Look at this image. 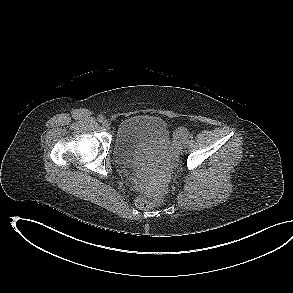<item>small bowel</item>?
I'll return each mask as SVG.
<instances>
[{
	"mask_svg": "<svg viewBox=\"0 0 293 293\" xmlns=\"http://www.w3.org/2000/svg\"><path fill=\"white\" fill-rule=\"evenodd\" d=\"M181 131H182V133H184V130L183 129H181Z\"/></svg>",
	"mask_w": 293,
	"mask_h": 293,
	"instance_id": "small-bowel-1",
	"label": "small bowel"
}]
</instances>
